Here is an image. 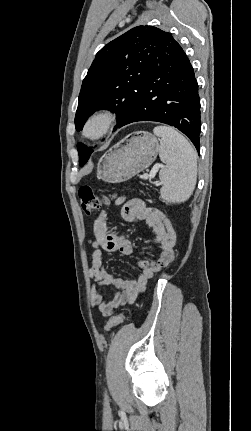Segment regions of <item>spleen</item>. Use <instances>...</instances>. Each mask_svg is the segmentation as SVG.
<instances>
[{"label": "spleen", "mask_w": 251, "mask_h": 431, "mask_svg": "<svg viewBox=\"0 0 251 431\" xmlns=\"http://www.w3.org/2000/svg\"><path fill=\"white\" fill-rule=\"evenodd\" d=\"M161 138L159 157L165 165L159 172L161 199L168 203L185 202L197 180V154L186 138L172 127L153 129Z\"/></svg>", "instance_id": "3e777b00"}]
</instances>
